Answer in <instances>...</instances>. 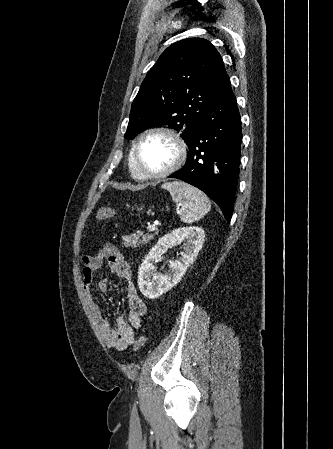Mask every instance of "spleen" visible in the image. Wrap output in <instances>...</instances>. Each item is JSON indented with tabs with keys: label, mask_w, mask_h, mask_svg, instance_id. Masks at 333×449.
<instances>
[{
	"label": "spleen",
	"mask_w": 333,
	"mask_h": 449,
	"mask_svg": "<svg viewBox=\"0 0 333 449\" xmlns=\"http://www.w3.org/2000/svg\"><path fill=\"white\" fill-rule=\"evenodd\" d=\"M162 187L170 192L178 204L180 218L185 223L199 220L211 209L208 197L197 187L181 181L165 183Z\"/></svg>",
	"instance_id": "3e777b00"
}]
</instances>
